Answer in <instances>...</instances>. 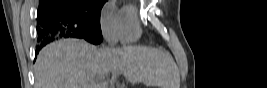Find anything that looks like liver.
<instances>
[{
	"label": "liver",
	"mask_w": 267,
	"mask_h": 88,
	"mask_svg": "<svg viewBox=\"0 0 267 88\" xmlns=\"http://www.w3.org/2000/svg\"><path fill=\"white\" fill-rule=\"evenodd\" d=\"M113 70L130 83L179 88V70L173 58L158 49L125 46L100 48L79 39H62L45 46L35 63L36 88H106L98 76Z\"/></svg>",
	"instance_id": "obj_1"
}]
</instances>
